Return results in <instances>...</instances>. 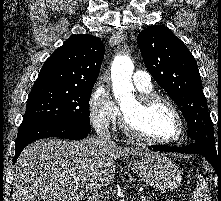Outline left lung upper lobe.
<instances>
[{"label": "left lung upper lobe", "mask_w": 221, "mask_h": 201, "mask_svg": "<svg viewBox=\"0 0 221 201\" xmlns=\"http://www.w3.org/2000/svg\"><path fill=\"white\" fill-rule=\"evenodd\" d=\"M137 43L149 73L181 108L191 141L216 148L199 70L185 44L159 25L140 32Z\"/></svg>", "instance_id": "obj_1"}]
</instances>
